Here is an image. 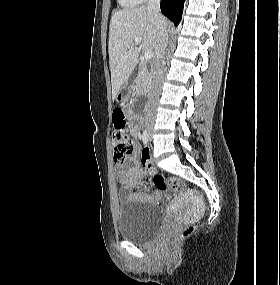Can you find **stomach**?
<instances>
[{
  "instance_id": "stomach-1",
  "label": "stomach",
  "mask_w": 280,
  "mask_h": 285,
  "mask_svg": "<svg viewBox=\"0 0 280 285\" xmlns=\"http://www.w3.org/2000/svg\"><path fill=\"white\" fill-rule=\"evenodd\" d=\"M132 89H133V84H129L128 82H125L120 88L116 96V100L125 99L131 93Z\"/></svg>"
}]
</instances>
